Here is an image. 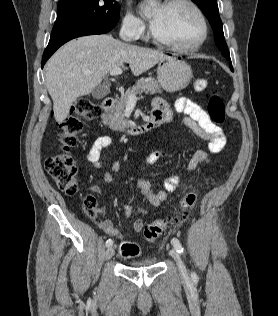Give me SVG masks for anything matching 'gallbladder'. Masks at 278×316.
Listing matches in <instances>:
<instances>
[{
  "label": "gallbladder",
  "instance_id": "bac80fb5",
  "mask_svg": "<svg viewBox=\"0 0 278 316\" xmlns=\"http://www.w3.org/2000/svg\"><path fill=\"white\" fill-rule=\"evenodd\" d=\"M109 93V89L103 85L97 86L92 91V96L96 99H102Z\"/></svg>",
  "mask_w": 278,
  "mask_h": 316
}]
</instances>
